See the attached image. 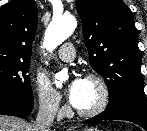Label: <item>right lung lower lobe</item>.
Returning <instances> with one entry per match:
<instances>
[{
  "mask_svg": "<svg viewBox=\"0 0 147 131\" xmlns=\"http://www.w3.org/2000/svg\"><path fill=\"white\" fill-rule=\"evenodd\" d=\"M33 109V97L23 99L0 94V114L27 117Z\"/></svg>",
  "mask_w": 147,
  "mask_h": 131,
  "instance_id": "obj_1",
  "label": "right lung lower lobe"
}]
</instances>
